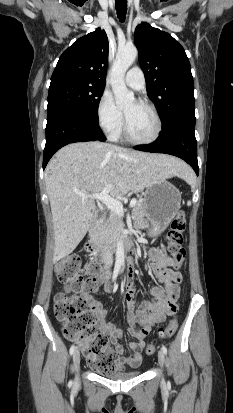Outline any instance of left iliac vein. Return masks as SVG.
Returning <instances> with one entry per match:
<instances>
[{
	"label": "left iliac vein",
	"mask_w": 233,
	"mask_h": 413,
	"mask_svg": "<svg viewBox=\"0 0 233 413\" xmlns=\"http://www.w3.org/2000/svg\"><path fill=\"white\" fill-rule=\"evenodd\" d=\"M158 361H159L160 366H163V364L165 362V355H164V352L162 350H160L158 352Z\"/></svg>",
	"instance_id": "obj_1"
}]
</instances>
